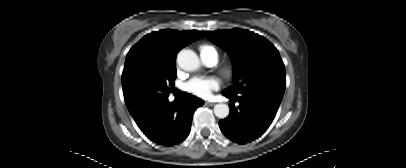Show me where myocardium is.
Masks as SVG:
<instances>
[{
  "label": "myocardium",
  "mask_w": 406,
  "mask_h": 168,
  "mask_svg": "<svg viewBox=\"0 0 406 168\" xmlns=\"http://www.w3.org/2000/svg\"><path fill=\"white\" fill-rule=\"evenodd\" d=\"M219 72L225 80L230 81L235 78L237 67L233 62H227L220 67Z\"/></svg>",
  "instance_id": "myocardium-1"
}]
</instances>
